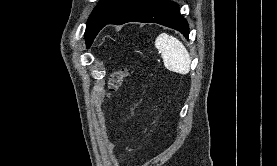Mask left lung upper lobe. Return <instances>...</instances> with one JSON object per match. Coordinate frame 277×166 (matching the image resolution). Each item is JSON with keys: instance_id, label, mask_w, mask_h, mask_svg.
Segmentation results:
<instances>
[{"instance_id": "obj_1", "label": "left lung upper lobe", "mask_w": 277, "mask_h": 166, "mask_svg": "<svg viewBox=\"0 0 277 166\" xmlns=\"http://www.w3.org/2000/svg\"><path fill=\"white\" fill-rule=\"evenodd\" d=\"M135 0H101L88 19L85 31L87 47H90L99 31L115 15L129 6Z\"/></svg>"}]
</instances>
